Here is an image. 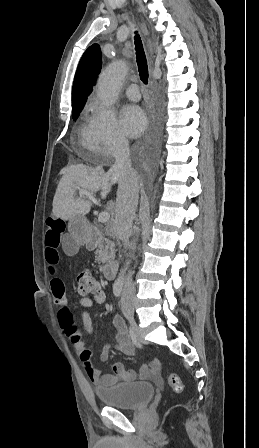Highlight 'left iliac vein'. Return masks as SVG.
<instances>
[{"mask_svg":"<svg viewBox=\"0 0 259 448\" xmlns=\"http://www.w3.org/2000/svg\"><path fill=\"white\" fill-rule=\"evenodd\" d=\"M121 308L124 316L127 319H132L134 316V306L132 302L127 301L125 298H122Z\"/></svg>","mask_w":259,"mask_h":448,"instance_id":"4c4485c4","label":"left iliac vein"}]
</instances>
